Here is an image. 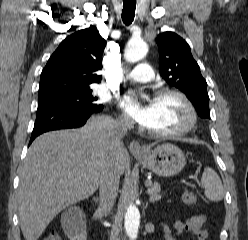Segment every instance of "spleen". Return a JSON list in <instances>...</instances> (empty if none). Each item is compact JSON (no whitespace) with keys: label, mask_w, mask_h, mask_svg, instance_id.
I'll use <instances>...</instances> for the list:
<instances>
[{"label":"spleen","mask_w":248,"mask_h":240,"mask_svg":"<svg viewBox=\"0 0 248 240\" xmlns=\"http://www.w3.org/2000/svg\"><path fill=\"white\" fill-rule=\"evenodd\" d=\"M206 198L211 201H220L224 196V188L218 174L210 167H206L201 177Z\"/></svg>","instance_id":"3e777b00"}]
</instances>
